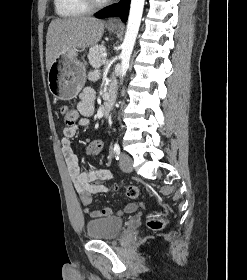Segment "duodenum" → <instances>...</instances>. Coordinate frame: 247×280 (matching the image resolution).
I'll return each instance as SVG.
<instances>
[{
  "label": "duodenum",
  "instance_id": "duodenum-1",
  "mask_svg": "<svg viewBox=\"0 0 247 280\" xmlns=\"http://www.w3.org/2000/svg\"><path fill=\"white\" fill-rule=\"evenodd\" d=\"M113 103H114V94L112 91H109L104 96L103 114L105 117L109 116Z\"/></svg>",
  "mask_w": 247,
  "mask_h": 280
}]
</instances>
